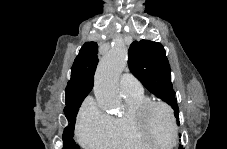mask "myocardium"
<instances>
[{
	"label": "myocardium",
	"mask_w": 227,
	"mask_h": 149,
	"mask_svg": "<svg viewBox=\"0 0 227 149\" xmlns=\"http://www.w3.org/2000/svg\"><path fill=\"white\" fill-rule=\"evenodd\" d=\"M155 107L163 108L169 115L171 125H172V140L168 144H159L153 141V139L149 136L147 131V117L150 111ZM132 120L135 127V130L139 137L146 142L149 146L154 147H167L174 146L178 139V126L176 122V117L173 109L163 101L157 100H148L141 105H139L132 114Z\"/></svg>",
	"instance_id": "1"
}]
</instances>
